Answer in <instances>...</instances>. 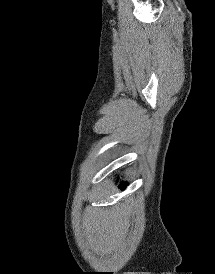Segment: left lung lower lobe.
I'll use <instances>...</instances> for the list:
<instances>
[{"mask_svg":"<svg viewBox=\"0 0 215 274\" xmlns=\"http://www.w3.org/2000/svg\"><path fill=\"white\" fill-rule=\"evenodd\" d=\"M125 187H126L125 183H122L121 186H120L121 189H124Z\"/></svg>","mask_w":215,"mask_h":274,"instance_id":"0a47b994","label":"left lung lower lobe"}]
</instances>
